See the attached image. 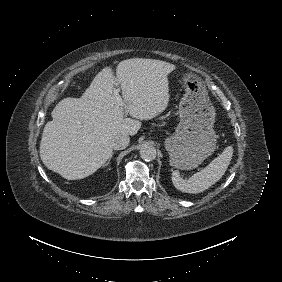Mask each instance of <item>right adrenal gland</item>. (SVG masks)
<instances>
[{"mask_svg":"<svg viewBox=\"0 0 282 282\" xmlns=\"http://www.w3.org/2000/svg\"><path fill=\"white\" fill-rule=\"evenodd\" d=\"M113 155H114V151L112 152L111 156L109 157L108 161L106 162V166L110 164Z\"/></svg>","mask_w":282,"mask_h":282,"instance_id":"right-adrenal-gland-1","label":"right adrenal gland"}]
</instances>
